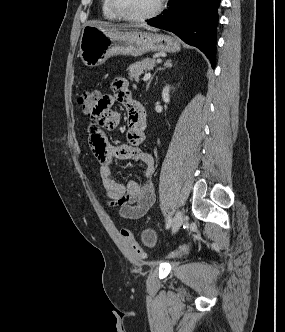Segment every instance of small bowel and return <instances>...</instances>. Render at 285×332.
I'll list each match as a JSON object with an SVG mask.
<instances>
[{
  "mask_svg": "<svg viewBox=\"0 0 285 332\" xmlns=\"http://www.w3.org/2000/svg\"><path fill=\"white\" fill-rule=\"evenodd\" d=\"M114 96H97L91 111H87L89 143L100 160V177L106 197L112 205L120 207V215L126 219L143 217L155 202V190L150 181L129 180L118 182L113 175L115 160H132L144 167V174L150 178L154 173V158L139 146L145 140L146 120L143 108L132 101L127 81L116 77L111 84ZM117 101L124 104L128 112L127 143L113 145L101 130H113L120 123L119 112L113 110Z\"/></svg>",
  "mask_w": 285,
  "mask_h": 332,
  "instance_id": "small-bowel-1",
  "label": "small bowel"
}]
</instances>
